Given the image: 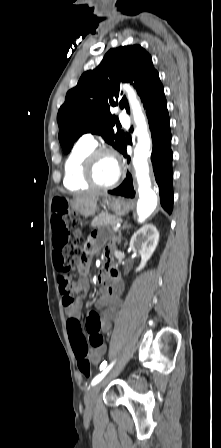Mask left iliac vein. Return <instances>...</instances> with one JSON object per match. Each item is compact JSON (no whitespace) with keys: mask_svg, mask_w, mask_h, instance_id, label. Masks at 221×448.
Returning <instances> with one entry per match:
<instances>
[{"mask_svg":"<svg viewBox=\"0 0 221 448\" xmlns=\"http://www.w3.org/2000/svg\"><path fill=\"white\" fill-rule=\"evenodd\" d=\"M103 385V382L97 383L90 387L85 394V405L88 411L93 410L96 404L98 393Z\"/></svg>","mask_w":221,"mask_h":448,"instance_id":"4c4485c4","label":"left iliac vein"}]
</instances>
